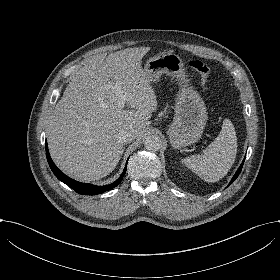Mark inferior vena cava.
Returning a JSON list of instances; mask_svg holds the SVG:
<instances>
[{
    "mask_svg": "<svg viewBox=\"0 0 280 280\" xmlns=\"http://www.w3.org/2000/svg\"><path fill=\"white\" fill-rule=\"evenodd\" d=\"M118 138L123 143H131L132 140L135 138V134L132 133L131 131L120 130L119 133H118Z\"/></svg>",
    "mask_w": 280,
    "mask_h": 280,
    "instance_id": "inferior-vena-cava-1",
    "label": "inferior vena cava"
}]
</instances>
